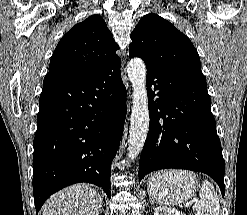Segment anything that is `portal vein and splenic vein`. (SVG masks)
<instances>
[{
	"label": "portal vein and splenic vein",
	"instance_id": "18ae733b",
	"mask_svg": "<svg viewBox=\"0 0 247 215\" xmlns=\"http://www.w3.org/2000/svg\"><path fill=\"white\" fill-rule=\"evenodd\" d=\"M191 204H192L191 202L187 203V204H186V207L190 206Z\"/></svg>",
	"mask_w": 247,
	"mask_h": 215
}]
</instances>
